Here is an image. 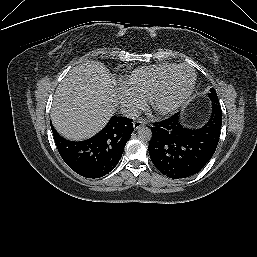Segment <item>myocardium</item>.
<instances>
[{
    "label": "myocardium",
    "instance_id": "obj_1",
    "mask_svg": "<svg viewBox=\"0 0 257 257\" xmlns=\"http://www.w3.org/2000/svg\"><path fill=\"white\" fill-rule=\"evenodd\" d=\"M181 69L187 70L191 74V82H190L189 86L184 91V93L181 96H179L177 99H175L167 104H160L159 98L164 90L167 80L173 73H175L176 71L181 70ZM196 80H197L196 73L194 72V70L191 67H189L187 65H183V64L174 66L173 68L168 70L159 79L156 86L150 93V95L147 99L149 107L155 113L160 114V115H166V114L174 112L175 110L180 108L184 103H186V101L190 98V96L193 93V90L195 88Z\"/></svg>",
    "mask_w": 257,
    "mask_h": 257
}]
</instances>
